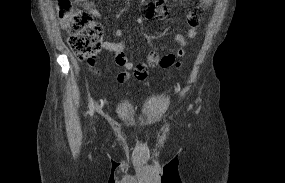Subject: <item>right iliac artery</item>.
<instances>
[{
	"instance_id": "obj_1",
	"label": "right iliac artery",
	"mask_w": 285,
	"mask_h": 183,
	"mask_svg": "<svg viewBox=\"0 0 285 183\" xmlns=\"http://www.w3.org/2000/svg\"><path fill=\"white\" fill-rule=\"evenodd\" d=\"M94 112V106H93V102L90 103V114L93 115Z\"/></svg>"
}]
</instances>
